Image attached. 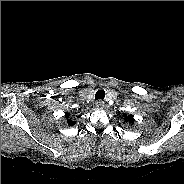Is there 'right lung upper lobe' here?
Returning a JSON list of instances; mask_svg holds the SVG:
<instances>
[{
	"instance_id": "obj_1",
	"label": "right lung upper lobe",
	"mask_w": 184,
	"mask_h": 184,
	"mask_svg": "<svg viewBox=\"0 0 184 184\" xmlns=\"http://www.w3.org/2000/svg\"><path fill=\"white\" fill-rule=\"evenodd\" d=\"M65 116L67 118V123L70 125V126H73L75 125V121L72 120V118H69L70 114L69 113H65Z\"/></svg>"
}]
</instances>
